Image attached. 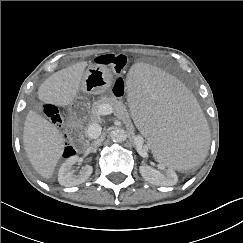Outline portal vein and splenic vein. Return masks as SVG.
Segmentation results:
<instances>
[{"mask_svg":"<svg viewBox=\"0 0 243 243\" xmlns=\"http://www.w3.org/2000/svg\"><path fill=\"white\" fill-rule=\"evenodd\" d=\"M113 113V109L109 104H103L100 107V114L101 115H110ZM101 133V127L98 124H92L88 127L87 130V135L90 138H94L96 136H98Z\"/></svg>","mask_w":243,"mask_h":243,"instance_id":"obj_1","label":"portal vein and splenic vein"}]
</instances>
